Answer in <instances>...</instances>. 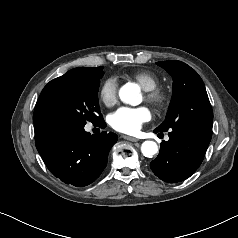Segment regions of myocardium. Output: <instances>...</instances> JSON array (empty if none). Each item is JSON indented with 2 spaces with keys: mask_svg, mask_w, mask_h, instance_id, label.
Listing matches in <instances>:
<instances>
[{
  "mask_svg": "<svg viewBox=\"0 0 238 238\" xmlns=\"http://www.w3.org/2000/svg\"><path fill=\"white\" fill-rule=\"evenodd\" d=\"M145 99L158 110H163L169 102L168 94L164 90L157 87L152 90L145 91Z\"/></svg>",
  "mask_w": 238,
  "mask_h": 238,
  "instance_id": "myocardium-1",
  "label": "myocardium"
}]
</instances>
